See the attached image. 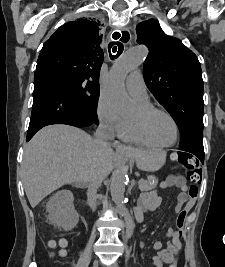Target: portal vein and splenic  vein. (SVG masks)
Masks as SVG:
<instances>
[{
    "label": "portal vein and splenic vein",
    "mask_w": 225,
    "mask_h": 267,
    "mask_svg": "<svg viewBox=\"0 0 225 267\" xmlns=\"http://www.w3.org/2000/svg\"><path fill=\"white\" fill-rule=\"evenodd\" d=\"M142 182V180H139V184Z\"/></svg>",
    "instance_id": "obj_1"
}]
</instances>
